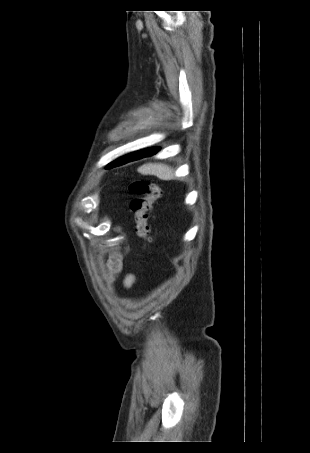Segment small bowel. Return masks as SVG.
<instances>
[{"instance_id": "c3829d8e", "label": "small bowel", "mask_w": 310, "mask_h": 453, "mask_svg": "<svg viewBox=\"0 0 310 453\" xmlns=\"http://www.w3.org/2000/svg\"><path fill=\"white\" fill-rule=\"evenodd\" d=\"M121 234V230H118ZM125 254L119 250L110 252L106 261V276L111 282H115L120 277L124 266ZM136 281V277L132 273H128L123 278V285L126 288L131 287Z\"/></svg>"}]
</instances>
